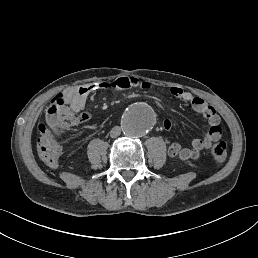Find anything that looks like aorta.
<instances>
[{
    "instance_id": "aorta-1",
    "label": "aorta",
    "mask_w": 258,
    "mask_h": 258,
    "mask_svg": "<svg viewBox=\"0 0 258 258\" xmlns=\"http://www.w3.org/2000/svg\"><path fill=\"white\" fill-rule=\"evenodd\" d=\"M155 115L145 103L132 105L122 116L121 127L130 138H138L146 134L155 124Z\"/></svg>"
}]
</instances>
